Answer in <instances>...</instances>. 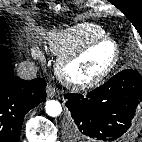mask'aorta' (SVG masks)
<instances>
[{"label": "aorta", "mask_w": 142, "mask_h": 142, "mask_svg": "<svg viewBox=\"0 0 142 142\" xmlns=\"http://www.w3.org/2000/svg\"><path fill=\"white\" fill-rule=\"evenodd\" d=\"M46 113L51 117H57L62 111L61 104L56 100H49L45 105Z\"/></svg>", "instance_id": "aorta-1"}]
</instances>
